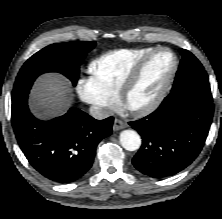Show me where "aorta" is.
Listing matches in <instances>:
<instances>
[{"mask_svg":"<svg viewBox=\"0 0 222 219\" xmlns=\"http://www.w3.org/2000/svg\"><path fill=\"white\" fill-rule=\"evenodd\" d=\"M122 147L128 151H135L141 146V138L134 130H123L119 136Z\"/></svg>","mask_w":222,"mask_h":219,"instance_id":"762f6f07","label":"aorta"}]
</instances>
